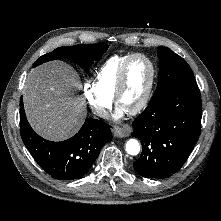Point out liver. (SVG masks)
Returning a JSON list of instances; mask_svg holds the SVG:
<instances>
[{"mask_svg": "<svg viewBox=\"0 0 221 221\" xmlns=\"http://www.w3.org/2000/svg\"><path fill=\"white\" fill-rule=\"evenodd\" d=\"M82 87L78 73L62 61L38 66L28 75L23 100L34 131L50 141H62L78 132L86 116L85 102L75 96Z\"/></svg>", "mask_w": 221, "mask_h": 221, "instance_id": "obj_1", "label": "liver"}]
</instances>
